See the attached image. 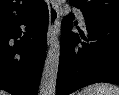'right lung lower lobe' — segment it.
Segmentation results:
<instances>
[{
  "instance_id": "obj_1",
  "label": "right lung lower lobe",
  "mask_w": 119,
  "mask_h": 95,
  "mask_svg": "<svg viewBox=\"0 0 119 95\" xmlns=\"http://www.w3.org/2000/svg\"><path fill=\"white\" fill-rule=\"evenodd\" d=\"M48 20V7L43 3L29 17L0 28V89L12 95H37Z\"/></svg>"
}]
</instances>
